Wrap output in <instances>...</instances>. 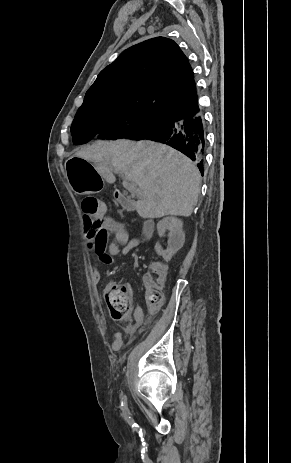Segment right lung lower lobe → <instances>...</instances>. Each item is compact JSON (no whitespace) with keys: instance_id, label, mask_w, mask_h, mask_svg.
<instances>
[{"instance_id":"right-lung-lower-lobe-1","label":"right lung lower lobe","mask_w":291,"mask_h":463,"mask_svg":"<svg viewBox=\"0 0 291 463\" xmlns=\"http://www.w3.org/2000/svg\"><path fill=\"white\" fill-rule=\"evenodd\" d=\"M149 139L167 144L193 160L203 175L205 131L200 113L193 118L165 116L164 123L135 140Z\"/></svg>"}]
</instances>
